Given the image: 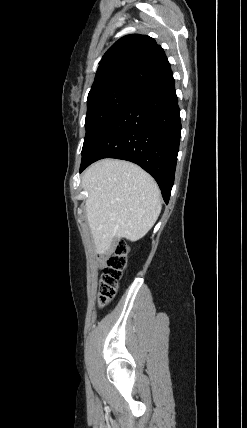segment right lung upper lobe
Listing matches in <instances>:
<instances>
[{
    "label": "right lung upper lobe",
    "mask_w": 247,
    "mask_h": 428,
    "mask_svg": "<svg viewBox=\"0 0 247 428\" xmlns=\"http://www.w3.org/2000/svg\"><path fill=\"white\" fill-rule=\"evenodd\" d=\"M170 71L164 50L153 38L127 35L102 57L88 95L116 87L141 92Z\"/></svg>",
    "instance_id": "right-lung-upper-lobe-1"
}]
</instances>
